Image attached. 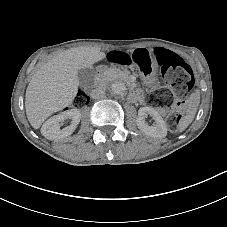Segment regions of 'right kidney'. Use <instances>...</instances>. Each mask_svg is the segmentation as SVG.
Instances as JSON below:
<instances>
[{
	"label": "right kidney",
	"mask_w": 227,
	"mask_h": 227,
	"mask_svg": "<svg viewBox=\"0 0 227 227\" xmlns=\"http://www.w3.org/2000/svg\"><path fill=\"white\" fill-rule=\"evenodd\" d=\"M81 112L77 108L64 111L49 118L41 127V134L48 140H58L70 136L80 122ZM71 119V125L60 129V123Z\"/></svg>",
	"instance_id": "1"
}]
</instances>
